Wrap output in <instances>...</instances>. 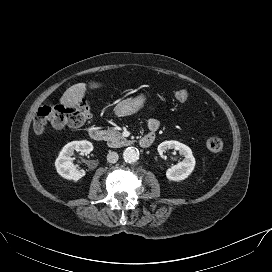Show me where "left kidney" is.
<instances>
[{"label":"left kidney","instance_id":"left-kidney-1","mask_svg":"<svg viewBox=\"0 0 272 272\" xmlns=\"http://www.w3.org/2000/svg\"><path fill=\"white\" fill-rule=\"evenodd\" d=\"M170 149L179 151V154L184 157V160L168 168L166 177L171 181L184 180L192 173L195 167V158L192 155V151L187 145L174 140L164 141L158 145V152L161 156Z\"/></svg>","mask_w":272,"mask_h":272}]
</instances>
